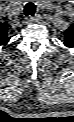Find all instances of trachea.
Wrapping results in <instances>:
<instances>
[{
    "label": "trachea",
    "instance_id": "1",
    "mask_svg": "<svg viewBox=\"0 0 74 122\" xmlns=\"http://www.w3.org/2000/svg\"><path fill=\"white\" fill-rule=\"evenodd\" d=\"M36 12V6L33 2H28L25 6H24V14L25 16H34Z\"/></svg>",
    "mask_w": 74,
    "mask_h": 122
}]
</instances>
